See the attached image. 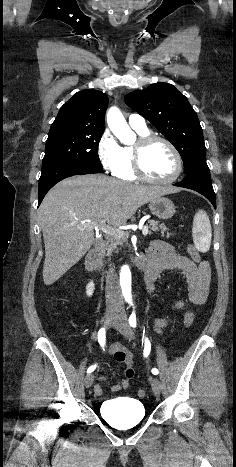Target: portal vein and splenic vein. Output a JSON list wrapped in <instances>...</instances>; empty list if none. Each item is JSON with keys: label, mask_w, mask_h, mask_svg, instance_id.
Instances as JSON below:
<instances>
[{"label": "portal vein and splenic vein", "mask_w": 236, "mask_h": 467, "mask_svg": "<svg viewBox=\"0 0 236 467\" xmlns=\"http://www.w3.org/2000/svg\"><path fill=\"white\" fill-rule=\"evenodd\" d=\"M94 228L96 230H101L105 234L115 236V237H118V238H123L124 235H125V233L122 230L111 227L109 225H106L105 222H103V221L100 222L99 224H96L94 226ZM142 233H143L144 236H146L148 234V227L147 226H144L142 228Z\"/></svg>", "instance_id": "18ae733b"}]
</instances>
